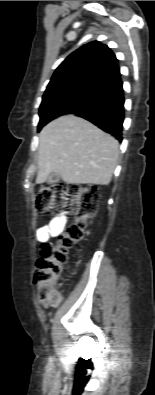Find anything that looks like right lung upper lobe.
<instances>
[{
    "label": "right lung upper lobe",
    "instance_id": "obj_1",
    "mask_svg": "<svg viewBox=\"0 0 155 395\" xmlns=\"http://www.w3.org/2000/svg\"><path fill=\"white\" fill-rule=\"evenodd\" d=\"M119 75L115 54L107 45L93 41L70 54L56 69L47 87L76 81L103 87Z\"/></svg>",
    "mask_w": 155,
    "mask_h": 395
}]
</instances>
